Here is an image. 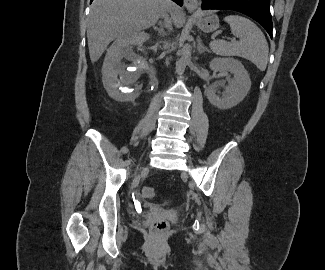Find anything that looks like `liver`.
I'll return each instance as SVG.
<instances>
[{"mask_svg": "<svg viewBox=\"0 0 325 270\" xmlns=\"http://www.w3.org/2000/svg\"><path fill=\"white\" fill-rule=\"evenodd\" d=\"M168 11L176 27H181L183 11L175 4ZM163 12L164 0H94L87 25L91 62L99 60L113 40L134 39L153 26Z\"/></svg>", "mask_w": 325, "mask_h": 270, "instance_id": "liver-1", "label": "liver"}]
</instances>
